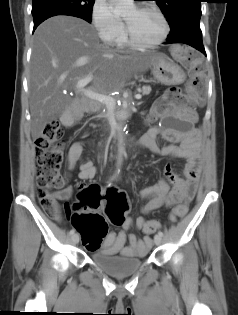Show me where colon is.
I'll return each instance as SVG.
<instances>
[{"instance_id":"colon-1","label":"colon","mask_w":238,"mask_h":315,"mask_svg":"<svg viewBox=\"0 0 238 315\" xmlns=\"http://www.w3.org/2000/svg\"><path fill=\"white\" fill-rule=\"evenodd\" d=\"M171 53L177 61L190 68L195 99L189 102L199 103L206 87V67L201 55L192 48L179 45L173 46ZM186 102L187 99L180 89H170L155 103L149 118L156 120L163 116L170 106ZM62 137L63 130L59 123L50 121L35 142L37 197L42 208L51 214L56 207L54 194L65 185V177L61 173L64 146ZM100 208H103L104 215L99 212ZM65 209L73 227L80 233L83 245L94 250L99 248L107 234L108 221L117 226L125 222L129 204L124 192L116 188L103 191L98 184H89L80 186L78 202L73 205V211H70L69 205H66ZM186 212V204H179L172 209L170 219L176 221ZM159 227L158 221L150 220L145 223L143 231L151 235Z\"/></svg>"}]
</instances>
